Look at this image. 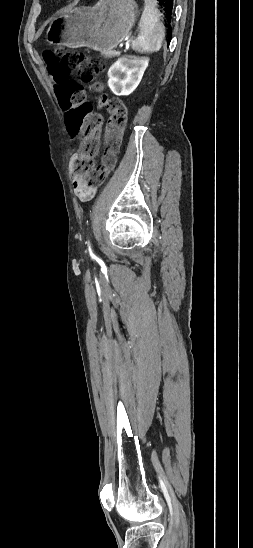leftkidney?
I'll list each match as a JSON object with an SVG mask.
<instances>
[{
  "mask_svg": "<svg viewBox=\"0 0 253 548\" xmlns=\"http://www.w3.org/2000/svg\"><path fill=\"white\" fill-rule=\"evenodd\" d=\"M148 58L120 57L108 70V86L118 96L131 94L148 67Z\"/></svg>",
  "mask_w": 253,
  "mask_h": 548,
  "instance_id": "left-kidney-1",
  "label": "left kidney"
}]
</instances>
